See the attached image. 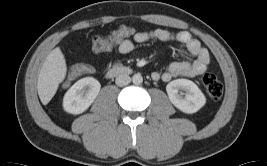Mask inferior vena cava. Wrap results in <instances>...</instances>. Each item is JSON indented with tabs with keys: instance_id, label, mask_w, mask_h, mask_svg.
I'll list each match as a JSON object with an SVG mask.
<instances>
[{
	"instance_id": "1",
	"label": "inferior vena cava",
	"mask_w": 267,
	"mask_h": 166,
	"mask_svg": "<svg viewBox=\"0 0 267 166\" xmlns=\"http://www.w3.org/2000/svg\"><path fill=\"white\" fill-rule=\"evenodd\" d=\"M131 82V78L129 75L121 74L116 77L115 83L117 86L123 87L128 85Z\"/></svg>"
}]
</instances>
